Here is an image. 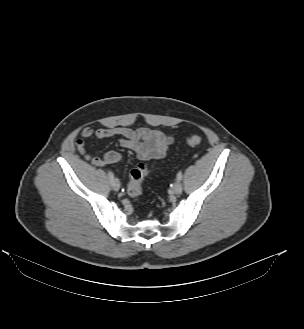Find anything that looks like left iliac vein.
Returning a JSON list of instances; mask_svg holds the SVG:
<instances>
[{
    "label": "left iliac vein",
    "mask_w": 304,
    "mask_h": 329,
    "mask_svg": "<svg viewBox=\"0 0 304 329\" xmlns=\"http://www.w3.org/2000/svg\"><path fill=\"white\" fill-rule=\"evenodd\" d=\"M172 190L175 194H181L182 193V184H181V182L177 180V182L174 184Z\"/></svg>",
    "instance_id": "4c4485c4"
}]
</instances>
